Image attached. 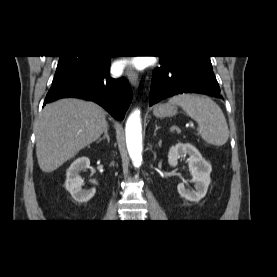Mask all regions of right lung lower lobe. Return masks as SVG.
I'll use <instances>...</instances> for the list:
<instances>
[{"label": "right lung lower lobe", "instance_id": "1", "mask_svg": "<svg viewBox=\"0 0 277 277\" xmlns=\"http://www.w3.org/2000/svg\"><path fill=\"white\" fill-rule=\"evenodd\" d=\"M110 57L70 79L52 85L44 105L65 97L89 99L106 109L115 119L122 120L132 100V91L125 78L109 75Z\"/></svg>", "mask_w": 277, "mask_h": 277}]
</instances>
